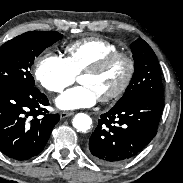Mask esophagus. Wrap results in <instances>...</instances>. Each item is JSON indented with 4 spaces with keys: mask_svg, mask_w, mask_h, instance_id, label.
<instances>
[{
    "mask_svg": "<svg viewBox=\"0 0 183 183\" xmlns=\"http://www.w3.org/2000/svg\"><path fill=\"white\" fill-rule=\"evenodd\" d=\"M71 115H73L72 112H61V113H60V118H61V119H64V118H66V117H70Z\"/></svg>",
    "mask_w": 183,
    "mask_h": 183,
    "instance_id": "obj_1",
    "label": "esophagus"
}]
</instances>
